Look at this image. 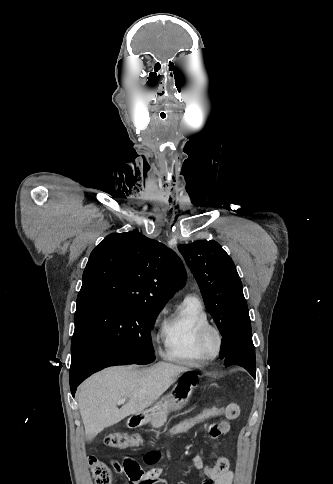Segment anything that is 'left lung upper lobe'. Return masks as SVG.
Masks as SVG:
<instances>
[{"label": "left lung upper lobe", "mask_w": 333, "mask_h": 484, "mask_svg": "<svg viewBox=\"0 0 333 484\" xmlns=\"http://www.w3.org/2000/svg\"><path fill=\"white\" fill-rule=\"evenodd\" d=\"M178 248L200 287L207 311L223 337L220 358L225 359L231 338L243 323L250 320L234 262L213 240H199Z\"/></svg>", "instance_id": "left-lung-upper-lobe-1"}]
</instances>
